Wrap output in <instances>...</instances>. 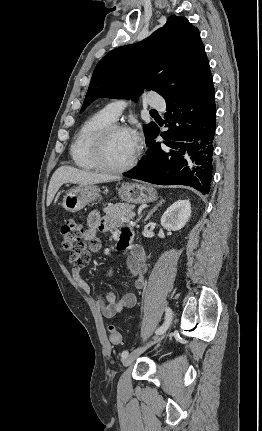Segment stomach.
<instances>
[{
    "label": "stomach",
    "mask_w": 262,
    "mask_h": 431,
    "mask_svg": "<svg viewBox=\"0 0 262 431\" xmlns=\"http://www.w3.org/2000/svg\"><path fill=\"white\" fill-rule=\"evenodd\" d=\"M122 201L132 204L147 203L156 199L154 189L147 184L125 183L118 189ZM100 196L95 184L79 185L71 188L63 198L62 205L68 212H78Z\"/></svg>",
    "instance_id": "1"
}]
</instances>
